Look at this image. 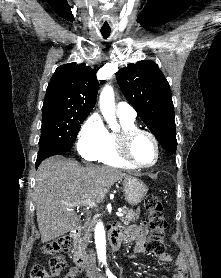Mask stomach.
Masks as SVG:
<instances>
[{"mask_svg":"<svg viewBox=\"0 0 221 278\" xmlns=\"http://www.w3.org/2000/svg\"><path fill=\"white\" fill-rule=\"evenodd\" d=\"M121 182L125 192V199L130 205L139 204L146 196L148 188L140 179L126 177Z\"/></svg>","mask_w":221,"mask_h":278,"instance_id":"stomach-1","label":"stomach"}]
</instances>
